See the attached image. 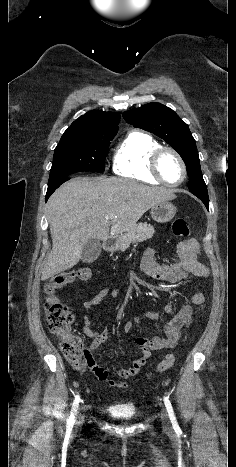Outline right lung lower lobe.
<instances>
[{
  "instance_id": "1",
  "label": "right lung lower lobe",
  "mask_w": 236,
  "mask_h": 467,
  "mask_svg": "<svg viewBox=\"0 0 236 467\" xmlns=\"http://www.w3.org/2000/svg\"><path fill=\"white\" fill-rule=\"evenodd\" d=\"M69 176L67 177H63V178H60L59 180L53 182V183H48V189H47V193H46V201L48 200V198L50 197V195L61 185L63 184L64 182H66L67 180H69Z\"/></svg>"
}]
</instances>
